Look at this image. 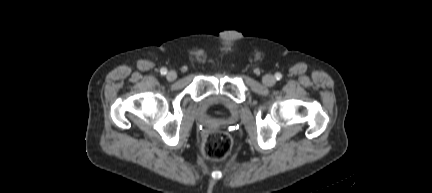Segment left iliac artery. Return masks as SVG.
Segmentation results:
<instances>
[{"label":"left iliac artery","instance_id":"1","mask_svg":"<svg viewBox=\"0 0 432 193\" xmlns=\"http://www.w3.org/2000/svg\"><path fill=\"white\" fill-rule=\"evenodd\" d=\"M275 77L277 80H280L282 78V74L281 73H276Z\"/></svg>","mask_w":432,"mask_h":193}]
</instances>
